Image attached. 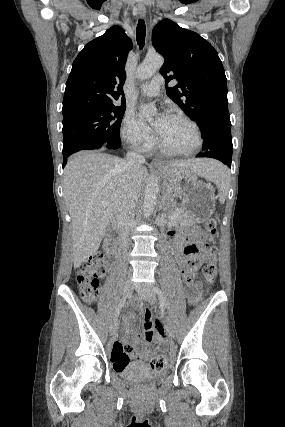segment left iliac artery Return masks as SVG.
Segmentation results:
<instances>
[{"mask_svg": "<svg viewBox=\"0 0 285 427\" xmlns=\"http://www.w3.org/2000/svg\"><path fill=\"white\" fill-rule=\"evenodd\" d=\"M153 289H154L155 293L158 295V297L160 299L161 307L163 309H166L167 308L166 299H165V297L163 295L162 290L159 287H154Z\"/></svg>", "mask_w": 285, "mask_h": 427, "instance_id": "44dca946", "label": "left iliac artery"}]
</instances>
